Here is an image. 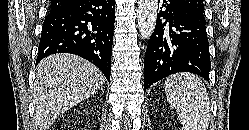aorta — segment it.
Returning a JSON list of instances; mask_svg holds the SVG:
<instances>
[{"label": "aorta", "mask_w": 249, "mask_h": 130, "mask_svg": "<svg viewBox=\"0 0 249 130\" xmlns=\"http://www.w3.org/2000/svg\"><path fill=\"white\" fill-rule=\"evenodd\" d=\"M158 13V0H138V26L142 39L152 35Z\"/></svg>", "instance_id": "aorta-1"}]
</instances>
